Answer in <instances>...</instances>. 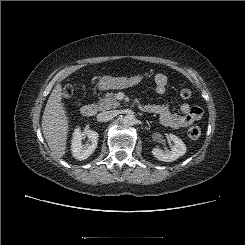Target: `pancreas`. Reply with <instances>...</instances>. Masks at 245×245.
Masks as SVG:
<instances>
[{
	"instance_id": "1",
	"label": "pancreas",
	"mask_w": 245,
	"mask_h": 245,
	"mask_svg": "<svg viewBox=\"0 0 245 245\" xmlns=\"http://www.w3.org/2000/svg\"><path fill=\"white\" fill-rule=\"evenodd\" d=\"M120 106L119 101L116 98V95L113 93H107L102 99L98 102V109L99 110H109L115 109Z\"/></svg>"
}]
</instances>
